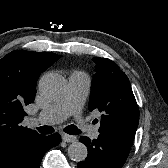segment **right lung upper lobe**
I'll use <instances>...</instances> for the list:
<instances>
[{"mask_svg": "<svg viewBox=\"0 0 168 168\" xmlns=\"http://www.w3.org/2000/svg\"><path fill=\"white\" fill-rule=\"evenodd\" d=\"M60 57L15 50L0 60V168L8 166L19 147L41 136L21 125L24 106L34 101L39 75Z\"/></svg>", "mask_w": 168, "mask_h": 168, "instance_id": "obj_1", "label": "right lung upper lobe"}]
</instances>
